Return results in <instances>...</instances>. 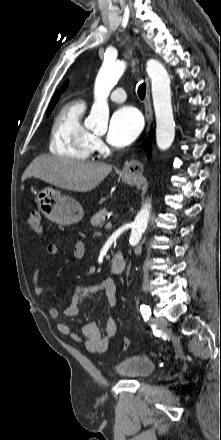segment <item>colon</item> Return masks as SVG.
<instances>
[{
    "label": "colon",
    "mask_w": 221,
    "mask_h": 440,
    "mask_svg": "<svg viewBox=\"0 0 221 440\" xmlns=\"http://www.w3.org/2000/svg\"><path fill=\"white\" fill-rule=\"evenodd\" d=\"M28 227L31 231L37 234L43 232L41 214L38 211H32L28 216ZM123 349H127L129 346V339L124 337L122 340Z\"/></svg>",
    "instance_id": "1"
}]
</instances>
